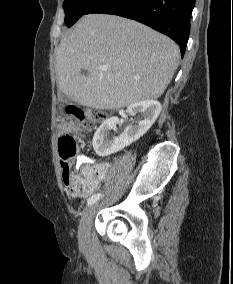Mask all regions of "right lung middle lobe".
Here are the masks:
<instances>
[{"label":"right lung middle lobe","mask_w":233,"mask_h":284,"mask_svg":"<svg viewBox=\"0 0 233 284\" xmlns=\"http://www.w3.org/2000/svg\"><path fill=\"white\" fill-rule=\"evenodd\" d=\"M108 0H65V23L72 26L81 16L92 13Z\"/></svg>","instance_id":"right-lung-middle-lobe-1"}]
</instances>
